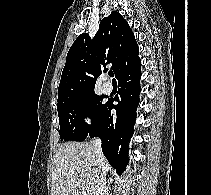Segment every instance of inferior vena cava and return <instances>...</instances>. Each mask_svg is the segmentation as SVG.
Returning <instances> with one entry per match:
<instances>
[{"mask_svg":"<svg viewBox=\"0 0 211 195\" xmlns=\"http://www.w3.org/2000/svg\"><path fill=\"white\" fill-rule=\"evenodd\" d=\"M93 146L95 149L96 159L99 162L100 168H101V173L96 179L95 195H104L107 174H106V165H105L106 160L101 149V140L99 138H96L93 141Z\"/></svg>","mask_w":211,"mask_h":195,"instance_id":"inferior-vena-cava-1","label":"inferior vena cava"}]
</instances>
